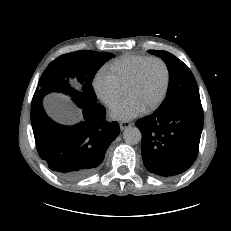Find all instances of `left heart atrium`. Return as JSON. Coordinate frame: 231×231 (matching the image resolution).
I'll return each mask as SVG.
<instances>
[{"label": "left heart atrium", "instance_id": "1", "mask_svg": "<svg viewBox=\"0 0 231 231\" xmlns=\"http://www.w3.org/2000/svg\"><path fill=\"white\" fill-rule=\"evenodd\" d=\"M145 109L136 99L127 97L114 104L110 109L109 115L114 120L128 121L141 115Z\"/></svg>", "mask_w": 231, "mask_h": 231}]
</instances>
